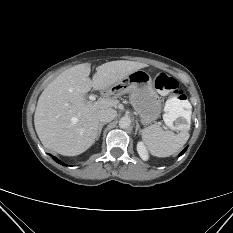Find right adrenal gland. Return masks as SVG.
Here are the masks:
<instances>
[{
	"instance_id": "obj_1",
	"label": "right adrenal gland",
	"mask_w": 233,
	"mask_h": 233,
	"mask_svg": "<svg viewBox=\"0 0 233 233\" xmlns=\"http://www.w3.org/2000/svg\"><path fill=\"white\" fill-rule=\"evenodd\" d=\"M105 124H106V123H100V124H99V130H98V134H97L96 140L99 139L100 134H101V131H102V128H103V126H104Z\"/></svg>"
}]
</instances>
